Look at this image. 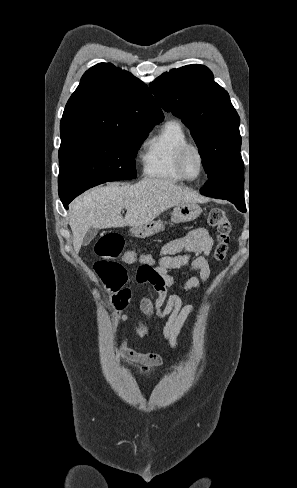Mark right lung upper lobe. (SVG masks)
Segmentation results:
<instances>
[{
    "instance_id": "cb5924a9",
    "label": "right lung upper lobe",
    "mask_w": 297,
    "mask_h": 488,
    "mask_svg": "<svg viewBox=\"0 0 297 488\" xmlns=\"http://www.w3.org/2000/svg\"><path fill=\"white\" fill-rule=\"evenodd\" d=\"M164 115L148 87L127 71L99 63L82 76L68 100L61 122V140L91 134H116L155 124Z\"/></svg>"
}]
</instances>
